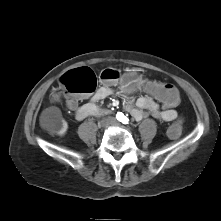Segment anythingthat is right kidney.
<instances>
[{"instance_id": "obj_1", "label": "right kidney", "mask_w": 221, "mask_h": 221, "mask_svg": "<svg viewBox=\"0 0 221 221\" xmlns=\"http://www.w3.org/2000/svg\"><path fill=\"white\" fill-rule=\"evenodd\" d=\"M67 129H68V124L67 122L64 120V119H60L58 120L52 130L57 134V135H60V136H63L65 135V133L67 132Z\"/></svg>"}]
</instances>
